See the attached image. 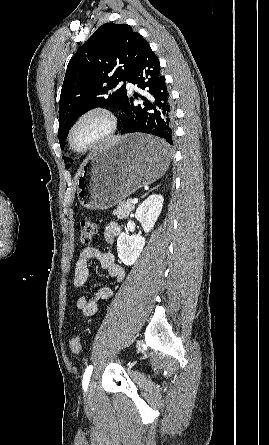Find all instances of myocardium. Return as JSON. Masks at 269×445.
<instances>
[{"instance_id":"f54148a6","label":"myocardium","mask_w":269,"mask_h":445,"mask_svg":"<svg viewBox=\"0 0 269 445\" xmlns=\"http://www.w3.org/2000/svg\"><path fill=\"white\" fill-rule=\"evenodd\" d=\"M93 118L100 119L102 121L103 128L101 132L86 144L78 146L75 143V135L78 129L86 121ZM117 129L118 118L110 109L102 106L89 108L80 113L72 122L66 137L68 148L75 154H86L109 140L115 134Z\"/></svg>"}]
</instances>
